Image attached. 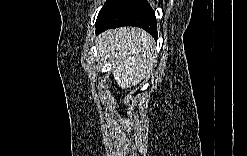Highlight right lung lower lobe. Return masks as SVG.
<instances>
[{"mask_svg":"<svg viewBox=\"0 0 247 156\" xmlns=\"http://www.w3.org/2000/svg\"><path fill=\"white\" fill-rule=\"evenodd\" d=\"M122 26L141 27L157 39L155 13L147 0H113L98 16L96 33Z\"/></svg>","mask_w":247,"mask_h":156,"instance_id":"1","label":"right lung lower lobe"}]
</instances>
